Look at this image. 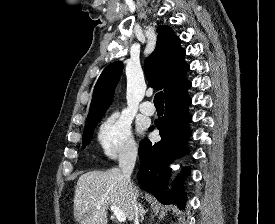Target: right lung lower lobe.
Listing matches in <instances>:
<instances>
[{
	"mask_svg": "<svg viewBox=\"0 0 275 224\" xmlns=\"http://www.w3.org/2000/svg\"><path fill=\"white\" fill-rule=\"evenodd\" d=\"M191 82L185 81L180 86L169 91L165 95V115L155 121V126L160 130L161 141L152 143L144 139L139 145L140 169L138 182L140 187L155 195L166 204H176L184 210L186 206V194L179 186L189 176L190 169L184 168L182 174L175 181L174 191L163 200L170 170L168 164L179 155L189 152L187 140L190 137L188 122L191 116L188 106L191 98L187 90ZM153 130V127L150 128Z\"/></svg>",
	"mask_w": 275,
	"mask_h": 224,
	"instance_id": "98d812e1",
	"label": "right lung lower lobe"
}]
</instances>
